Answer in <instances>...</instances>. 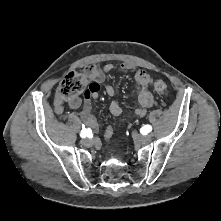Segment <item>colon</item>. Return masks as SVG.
I'll return each mask as SVG.
<instances>
[{
    "label": "colon",
    "instance_id": "obj_1",
    "mask_svg": "<svg viewBox=\"0 0 221 221\" xmlns=\"http://www.w3.org/2000/svg\"><path fill=\"white\" fill-rule=\"evenodd\" d=\"M89 84V79L85 74L71 72L61 81L57 95L61 100L77 97L85 88L89 87ZM154 89L158 94L163 95L167 93L168 87L163 80H157Z\"/></svg>",
    "mask_w": 221,
    "mask_h": 221
}]
</instances>
